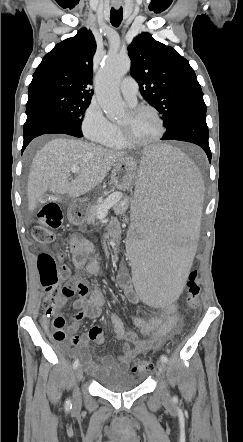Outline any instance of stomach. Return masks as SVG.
<instances>
[{"instance_id":"stomach-1","label":"stomach","mask_w":243,"mask_h":442,"mask_svg":"<svg viewBox=\"0 0 243 442\" xmlns=\"http://www.w3.org/2000/svg\"><path fill=\"white\" fill-rule=\"evenodd\" d=\"M136 167L137 162L131 157H125L118 161L111 172V182L119 190H127L133 185L135 176L138 175ZM67 217L69 222L74 225H82L86 220V216L76 204L69 207Z\"/></svg>"}]
</instances>
